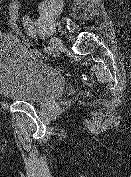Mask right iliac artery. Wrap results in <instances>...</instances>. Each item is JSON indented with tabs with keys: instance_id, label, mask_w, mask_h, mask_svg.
Returning a JSON list of instances; mask_svg holds the SVG:
<instances>
[{
	"instance_id": "1",
	"label": "right iliac artery",
	"mask_w": 131,
	"mask_h": 177,
	"mask_svg": "<svg viewBox=\"0 0 131 177\" xmlns=\"http://www.w3.org/2000/svg\"><path fill=\"white\" fill-rule=\"evenodd\" d=\"M22 21H23V26H24V28H25L27 34H28L30 37L34 38V37H35V30H34L33 22H32V20L30 19V17L27 16V15H25V16L23 17V20H22ZM52 50H53V48H52L51 46H47V47L45 48V52L48 53V54H51Z\"/></svg>"
}]
</instances>
